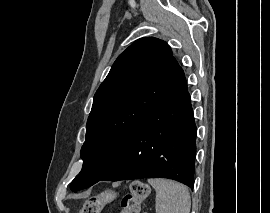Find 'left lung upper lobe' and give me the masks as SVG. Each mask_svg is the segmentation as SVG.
Listing matches in <instances>:
<instances>
[{"mask_svg": "<svg viewBox=\"0 0 270 213\" xmlns=\"http://www.w3.org/2000/svg\"><path fill=\"white\" fill-rule=\"evenodd\" d=\"M183 75L171 48L157 38L136 40L119 55L95 93L81 148L83 167L72 191L109 172L138 126Z\"/></svg>", "mask_w": 270, "mask_h": 213, "instance_id": "obj_1", "label": "left lung upper lobe"}]
</instances>
